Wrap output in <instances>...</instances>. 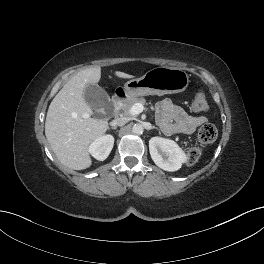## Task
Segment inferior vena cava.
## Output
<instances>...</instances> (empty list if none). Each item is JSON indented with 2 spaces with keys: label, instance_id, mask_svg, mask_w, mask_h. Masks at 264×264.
I'll use <instances>...</instances> for the list:
<instances>
[{
  "label": "inferior vena cava",
  "instance_id": "602c4592",
  "mask_svg": "<svg viewBox=\"0 0 264 264\" xmlns=\"http://www.w3.org/2000/svg\"><path fill=\"white\" fill-rule=\"evenodd\" d=\"M127 123V119L126 118H116L113 121L110 122L111 126H123Z\"/></svg>",
  "mask_w": 264,
  "mask_h": 264
}]
</instances>
